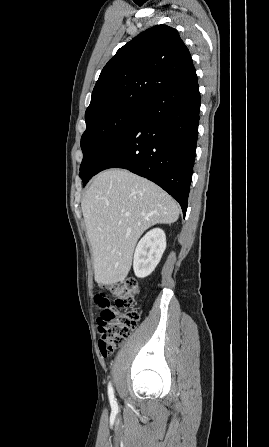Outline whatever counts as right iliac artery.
Listing matches in <instances>:
<instances>
[{"label":"right iliac artery","mask_w":269,"mask_h":447,"mask_svg":"<svg viewBox=\"0 0 269 447\" xmlns=\"http://www.w3.org/2000/svg\"><path fill=\"white\" fill-rule=\"evenodd\" d=\"M108 395H109V400H110L111 407L113 409L117 408V403H116V400H115L114 391H113V388L111 386V383H109V385H108Z\"/></svg>","instance_id":"82829eb1"}]
</instances>
